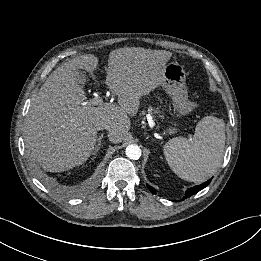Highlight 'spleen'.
Segmentation results:
<instances>
[{
  "label": "spleen",
  "instance_id": "1",
  "mask_svg": "<svg viewBox=\"0 0 261 261\" xmlns=\"http://www.w3.org/2000/svg\"><path fill=\"white\" fill-rule=\"evenodd\" d=\"M225 146V123L213 115L198 122L192 140L171 139L164 145V155L176 175L200 183L212 176L221 165Z\"/></svg>",
  "mask_w": 261,
  "mask_h": 261
}]
</instances>
